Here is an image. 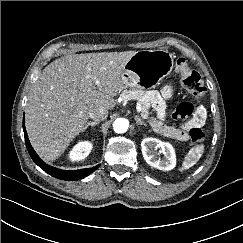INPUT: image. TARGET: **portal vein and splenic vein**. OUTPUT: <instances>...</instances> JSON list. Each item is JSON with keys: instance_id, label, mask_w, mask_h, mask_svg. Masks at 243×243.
I'll list each match as a JSON object with an SVG mask.
<instances>
[{"instance_id": "1", "label": "portal vein and splenic vein", "mask_w": 243, "mask_h": 243, "mask_svg": "<svg viewBox=\"0 0 243 243\" xmlns=\"http://www.w3.org/2000/svg\"><path fill=\"white\" fill-rule=\"evenodd\" d=\"M136 110H137L138 113H140L142 111V105H141L140 102H137V104H136Z\"/></svg>"}]
</instances>
